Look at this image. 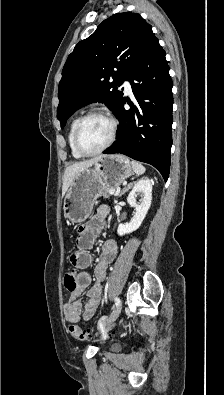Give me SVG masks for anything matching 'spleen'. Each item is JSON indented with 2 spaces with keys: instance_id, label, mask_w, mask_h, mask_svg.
<instances>
[{
  "instance_id": "obj_1",
  "label": "spleen",
  "mask_w": 224,
  "mask_h": 395,
  "mask_svg": "<svg viewBox=\"0 0 224 395\" xmlns=\"http://www.w3.org/2000/svg\"><path fill=\"white\" fill-rule=\"evenodd\" d=\"M131 165L136 175H142L146 170L145 167L137 161L132 160Z\"/></svg>"
}]
</instances>
